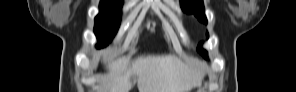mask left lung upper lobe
Here are the masks:
<instances>
[{
	"instance_id": "1",
	"label": "left lung upper lobe",
	"mask_w": 296,
	"mask_h": 92,
	"mask_svg": "<svg viewBox=\"0 0 296 92\" xmlns=\"http://www.w3.org/2000/svg\"><path fill=\"white\" fill-rule=\"evenodd\" d=\"M180 5L183 11L193 13L199 21L207 24V19L204 14L203 0H180ZM208 38V33H207ZM199 52L207 58V52L203 49H199Z\"/></svg>"
}]
</instances>
